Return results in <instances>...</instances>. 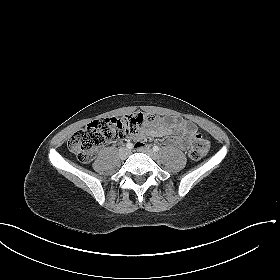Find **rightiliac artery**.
<instances>
[{
	"label": "right iliac artery",
	"mask_w": 280,
	"mask_h": 280,
	"mask_svg": "<svg viewBox=\"0 0 280 280\" xmlns=\"http://www.w3.org/2000/svg\"><path fill=\"white\" fill-rule=\"evenodd\" d=\"M126 147H127L128 149H132V148H133V144H132V143H127V144H126Z\"/></svg>",
	"instance_id": "1"
}]
</instances>
